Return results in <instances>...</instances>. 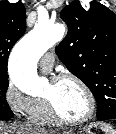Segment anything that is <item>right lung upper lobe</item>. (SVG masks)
Masks as SVG:
<instances>
[{
    "instance_id": "1",
    "label": "right lung upper lobe",
    "mask_w": 116,
    "mask_h": 134,
    "mask_svg": "<svg viewBox=\"0 0 116 134\" xmlns=\"http://www.w3.org/2000/svg\"><path fill=\"white\" fill-rule=\"evenodd\" d=\"M26 30V10L21 1L0 2V75H7V60Z\"/></svg>"
}]
</instances>
